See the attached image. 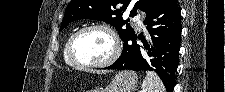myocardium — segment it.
I'll use <instances>...</instances> for the list:
<instances>
[{
    "mask_svg": "<svg viewBox=\"0 0 225 92\" xmlns=\"http://www.w3.org/2000/svg\"><path fill=\"white\" fill-rule=\"evenodd\" d=\"M89 30H101L107 33L111 39L112 46H113V52L112 54L104 61L99 62V63H85L80 61L77 56L75 55L74 52V47L76 44V41L79 39V37L85 33L86 31ZM68 56L74 66L84 68V69H100V68H105L110 65H112L119 57L120 52H121V47H120V42L118 39V36L116 32L109 26L104 25V24H90L87 26L82 27L78 31H76L70 38L68 42Z\"/></svg>",
    "mask_w": 225,
    "mask_h": 92,
    "instance_id": "myocardium-1",
    "label": "myocardium"
}]
</instances>
